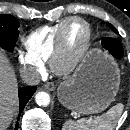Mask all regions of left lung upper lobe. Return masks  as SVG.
<instances>
[{
	"label": "left lung upper lobe",
	"instance_id": "obj_1",
	"mask_svg": "<svg viewBox=\"0 0 130 130\" xmlns=\"http://www.w3.org/2000/svg\"><path fill=\"white\" fill-rule=\"evenodd\" d=\"M108 26L115 32V33H118V31L111 25L108 23Z\"/></svg>",
	"mask_w": 130,
	"mask_h": 130
}]
</instances>
